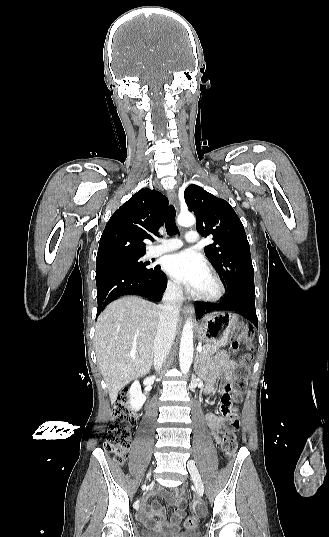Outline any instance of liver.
<instances>
[{
    "label": "liver",
    "mask_w": 329,
    "mask_h": 537,
    "mask_svg": "<svg viewBox=\"0 0 329 537\" xmlns=\"http://www.w3.org/2000/svg\"><path fill=\"white\" fill-rule=\"evenodd\" d=\"M159 315V306L136 296L112 302L99 315L95 351L112 403L120 389L150 371Z\"/></svg>",
    "instance_id": "6515ba94"
}]
</instances>
